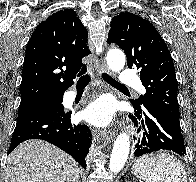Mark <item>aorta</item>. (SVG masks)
<instances>
[{
  "label": "aorta",
  "mask_w": 196,
  "mask_h": 182,
  "mask_svg": "<svg viewBox=\"0 0 196 182\" xmlns=\"http://www.w3.org/2000/svg\"><path fill=\"white\" fill-rule=\"evenodd\" d=\"M125 55L120 50H110L107 54V64L114 72H119L125 66ZM130 151V139L127 133H121L116 138L110 157L109 169L118 173L125 165Z\"/></svg>",
  "instance_id": "1"
}]
</instances>
